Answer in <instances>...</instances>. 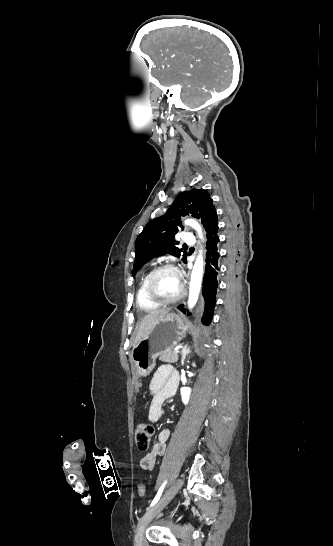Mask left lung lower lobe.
Returning <instances> with one entry per match:
<instances>
[{
    "label": "left lung lower lobe",
    "instance_id": "1",
    "mask_svg": "<svg viewBox=\"0 0 333 546\" xmlns=\"http://www.w3.org/2000/svg\"><path fill=\"white\" fill-rule=\"evenodd\" d=\"M206 232V266L205 274L203 278L202 294L204 297V313L202 321L205 325H209L213 318L214 307L216 303V294L218 288L217 276L219 273L218 259L219 253L217 251L218 237V217L217 214L213 216L207 227ZM178 309L185 312L184 305H179Z\"/></svg>",
    "mask_w": 333,
    "mask_h": 546
}]
</instances>
